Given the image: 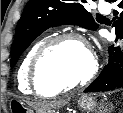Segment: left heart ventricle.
Wrapping results in <instances>:
<instances>
[{"label":"left heart ventricle","instance_id":"b2bd125f","mask_svg":"<svg viewBox=\"0 0 123 113\" xmlns=\"http://www.w3.org/2000/svg\"><path fill=\"white\" fill-rule=\"evenodd\" d=\"M90 68L87 50L77 42L65 41L41 61L39 77L45 87L71 84L83 78Z\"/></svg>","mask_w":123,"mask_h":113}]
</instances>
